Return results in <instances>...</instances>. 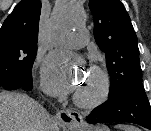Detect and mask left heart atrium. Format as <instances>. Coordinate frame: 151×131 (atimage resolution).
Returning a JSON list of instances; mask_svg holds the SVG:
<instances>
[{
	"label": "left heart atrium",
	"instance_id": "left-heart-atrium-1",
	"mask_svg": "<svg viewBox=\"0 0 151 131\" xmlns=\"http://www.w3.org/2000/svg\"><path fill=\"white\" fill-rule=\"evenodd\" d=\"M82 67V62L75 57L62 54L49 57L42 72L45 90L54 96L76 91L84 77Z\"/></svg>",
	"mask_w": 151,
	"mask_h": 131
}]
</instances>
